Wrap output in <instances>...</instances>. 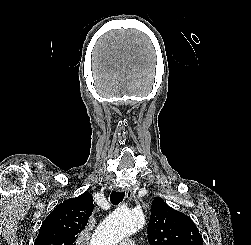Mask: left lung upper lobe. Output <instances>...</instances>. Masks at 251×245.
Returning <instances> with one entry per match:
<instances>
[{
    "label": "left lung upper lobe",
    "instance_id": "1",
    "mask_svg": "<svg viewBox=\"0 0 251 245\" xmlns=\"http://www.w3.org/2000/svg\"><path fill=\"white\" fill-rule=\"evenodd\" d=\"M147 234L150 245H203L190 217L172 209L159 197L152 202Z\"/></svg>",
    "mask_w": 251,
    "mask_h": 245
}]
</instances>
